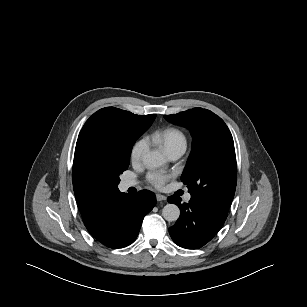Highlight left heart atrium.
<instances>
[{
  "mask_svg": "<svg viewBox=\"0 0 307 307\" xmlns=\"http://www.w3.org/2000/svg\"><path fill=\"white\" fill-rule=\"evenodd\" d=\"M170 175L163 171H153L148 175L149 182L156 188H163Z\"/></svg>",
  "mask_w": 307,
  "mask_h": 307,
  "instance_id": "1",
  "label": "left heart atrium"
}]
</instances>
